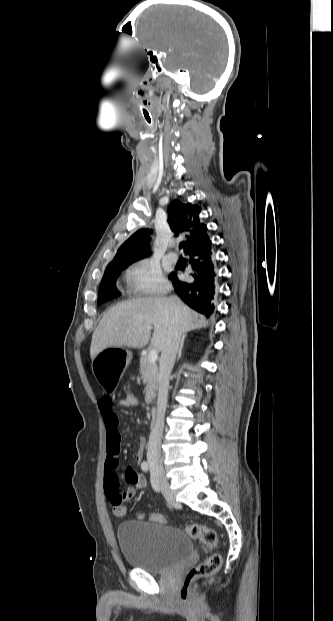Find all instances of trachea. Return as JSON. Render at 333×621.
Returning a JSON list of instances; mask_svg holds the SVG:
<instances>
[{
  "label": "trachea",
  "instance_id": "obj_1",
  "mask_svg": "<svg viewBox=\"0 0 333 621\" xmlns=\"http://www.w3.org/2000/svg\"><path fill=\"white\" fill-rule=\"evenodd\" d=\"M183 246H184V243H181V244H180V249H182V248H183Z\"/></svg>",
  "mask_w": 333,
  "mask_h": 621
}]
</instances>
